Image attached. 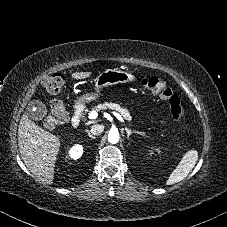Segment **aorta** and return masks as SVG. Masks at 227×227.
I'll use <instances>...</instances> for the list:
<instances>
[{
	"label": "aorta",
	"mask_w": 227,
	"mask_h": 227,
	"mask_svg": "<svg viewBox=\"0 0 227 227\" xmlns=\"http://www.w3.org/2000/svg\"><path fill=\"white\" fill-rule=\"evenodd\" d=\"M119 141V133L117 131H110L108 134V142L116 144Z\"/></svg>",
	"instance_id": "obj_1"
}]
</instances>
